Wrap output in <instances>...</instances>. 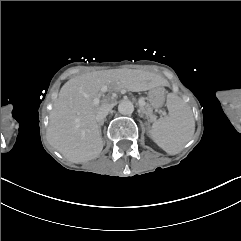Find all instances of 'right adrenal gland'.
I'll list each match as a JSON object with an SVG mask.
<instances>
[{
    "mask_svg": "<svg viewBox=\"0 0 241 241\" xmlns=\"http://www.w3.org/2000/svg\"><path fill=\"white\" fill-rule=\"evenodd\" d=\"M101 125H102V124H98V127H99V130H100V131H101Z\"/></svg>",
    "mask_w": 241,
    "mask_h": 241,
    "instance_id": "obj_1",
    "label": "right adrenal gland"
}]
</instances>
